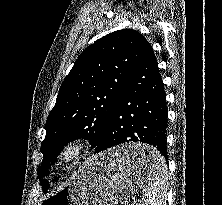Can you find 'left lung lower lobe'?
Here are the masks:
<instances>
[{
	"label": "left lung lower lobe",
	"instance_id": "obj_1",
	"mask_svg": "<svg viewBox=\"0 0 222 205\" xmlns=\"http://www.w3.org/2000/svg\"><path fill=\"white\" fill-rule=\"evenodd\" d=\"M167 127L164 84L148 43L119 94L108 124L95 146V153L133 141L154 146L167 159ZM131 160L138 165H150L153 156L137 152Z\"/></svg>",
	"mask_w": 222,
	"mask_h": 205
}]
</instances>
